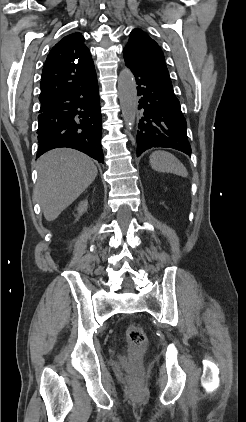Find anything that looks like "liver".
<instances>
[{
  "mask_svg": "<svg viewBox=\"0 0 246 422\" xmlns=\"http://www.w3.org/2000/svg\"><path fill=\"white\" fill-rule=\"evenodd\" d=\"M35 196L47 221L55 220L95 180L97 167L74 149H53L37 161Z\"/></svg>",
  "mask_w": 246,
  "mask_h": 422,
  "instance_id": "1",
  "label": "liver"
}]
</instances>
